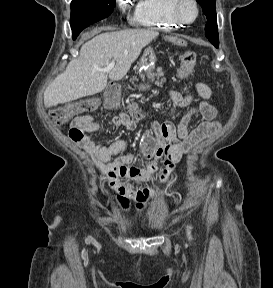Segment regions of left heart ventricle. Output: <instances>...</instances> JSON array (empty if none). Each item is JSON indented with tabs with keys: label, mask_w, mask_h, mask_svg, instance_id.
I'll use <instances>...</instances> for the list:
<instances>
[{
	"label": "left heart ventricle",
	"mask_w": 273,
	"mask_h": 288,
	"mask_svg": "<svg viewBox=\"0 0 273 288\" xmlns=\"http://www.w3.org/2000/svg\"><path fill=\"white\" fill-rule=\"evenodd\" d=\"M182 14L187 19H192L195 15V9L190 2H185L182 6Z\"/></svg>",
	"instance_id": "1"
}]
</instances>
